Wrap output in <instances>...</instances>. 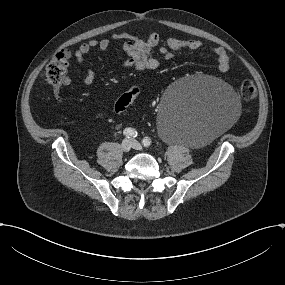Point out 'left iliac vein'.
<instances>
[{"mask_svg":"<svg viewBox=\"0 0 285 285\" xmlns=\"http://www.w3.org/2000/svg\"><path fill=\"white\" fill-rule=\"evenodd\" d=\"M132 143V148L136 150H142L141 144L137 140H130Z\"/></svg>","mask_w":285,"mask_h":285,"instance_id":"1","label":"left iliac vein"}]
</instances>
